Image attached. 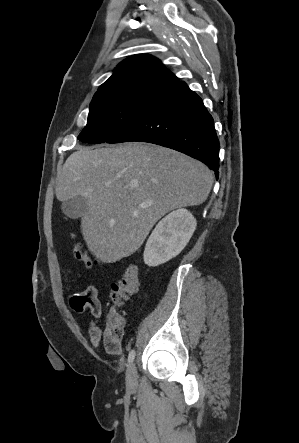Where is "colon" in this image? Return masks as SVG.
I'll list each match as a JSON object with an SVG mask.
<instances>
[{
  "label": "colon",
  "instance_id": "obj_1",
  "mask_svg": "<svg viewBox=\"0 0 299 443\" xmlns=\"http://www.w3.org/2000/svg\"><path fill=\"white\" fill-rule=\"evenodd\" d=\"M74 238V237H72ZM73 251L77 259L84 262L87 266L96 264L93 259L76 241L73 242ZM139 289V271L138 267L131 264L125 268L119 280L112 284L110 289V299L115 305L122 304L129 295ZM125 319L122 315L110 310L106 316V330L115 336H120L123 332Z\"/></svg>",
  "mask_w": 299,
  "mask_h": 443
}]
</instances>
